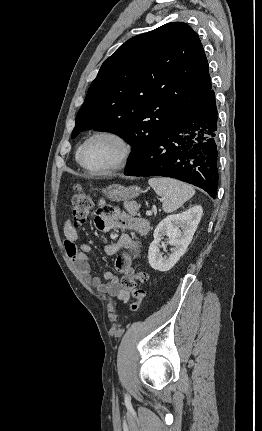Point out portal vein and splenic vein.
Listing matches in <instances>:
<instances>
[{"mask_svg":"<svg viewBox=\"0 0 262 431\" xmlns=\"http://www.w3.org/2000/svg\"><path fill=\"white\" fill-rule=\"evenodd\" d=\"M146 215H147V216L152 215V211H151V210L146 211Z\"/></svg>","mask_w":262,"mask_h":431,"instance_id":"portal-vein-and-splenic-vein-1","label":"portal vein and splenic vein"}]
</instances>
